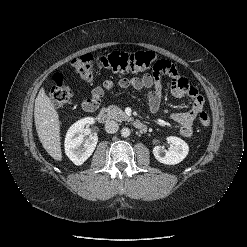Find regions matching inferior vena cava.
I'll list each match as a JSON object with an SVG mask.
<instances>
[{"label":"inferior vena cava","instance_id":"inferior-vena-cava-1","mask_svg":"<svg viewBox=\"0 0 247 247\" xmlns=\"http://www.w3.org/2000/svg\"><path fill=\"white\" fill-rule=\"evenodd\" d=\"M119 129V125L116 121L110 120L105 124V130L107 133L113 134L116 133Z\"/></svg>","mask_w":247,"mask_h":247}]
</instances>
